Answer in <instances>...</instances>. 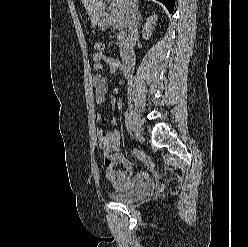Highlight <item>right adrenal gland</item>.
I'll return each mask as SVG.
<instances>
[{
  "instance_id": "right-adrenal-gland-1",
  "label": "right adrenal gland",
  "mask_w": 248,
  "mask_h": 247,
  "mask_svg": "<svg viewBox=\"0 0 248 247\" xmlns=\"http://www.w3.org/2000/svg\"><path fill=\"white\" fill-rule=\"evenodd\" d=\"M136 11H137V20H138V22H141L142 15H141V13H140V11L138 9V4H136Z\"/></svg>"
}]
</instances>
